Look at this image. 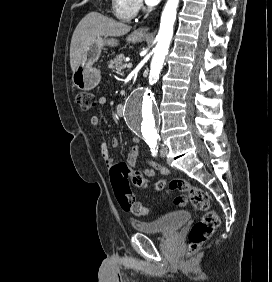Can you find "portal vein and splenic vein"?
<instances>
[{"mask_svg":"<svg viewBox=\"0 0 272 282\" xmlns=\"http://www.w3.org/2000/svg\"><path fill=\"white\" fill-rule=\"evenodd\" d=\"M132 67H133V64H132V63H128V64H127V68H128V69H131Z\"/></svg>","mask_w":272,"mask_h":282,"instance_id":"portal-vein-and-splenic-vein-1","label":"portal vein and splenic vein"}]
</instances>
